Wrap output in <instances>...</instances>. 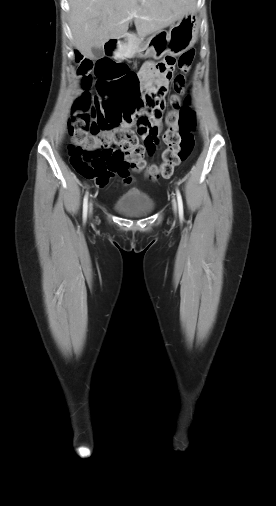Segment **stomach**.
I'll return each mask as SVG.
<instances>
[{
  "instance_id": "obj_1",
  "label": "stomach",
  "mask_w": 276,
  "mask_h": 506,
  "mask_svg": "<svg viewBox=\"0 0 276 506\" xmlns=\"http://www.w3.org/2000/svg\"><path fill=\"white\" fill-rule=\"evenodd\" d=\"M197 34V17L194 12H190L179 19L168 32L159 30L153 33L136 51L142 58L155 60L166 54L178 56L194 45Z\"/></svg>"
}]
</instances>
